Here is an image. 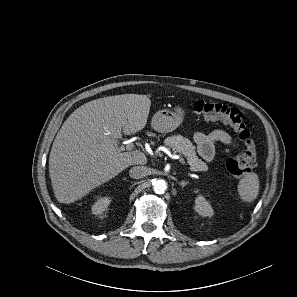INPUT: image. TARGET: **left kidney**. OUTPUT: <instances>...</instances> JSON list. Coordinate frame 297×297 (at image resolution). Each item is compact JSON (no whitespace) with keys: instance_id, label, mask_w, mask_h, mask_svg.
I'll return each mask as SVG.
<instances>
[{"instance_id":"left-kidney-1","label":"left kidney","mask_w":297,"mask_h":297,"mask_svg":"<svg viewBox=\"0 0 297 297\" xmlns=\"http://www.w3.org/2000/svg\"><path fill=\"white\" fill-rule=\"evenodd\" d=\"M195 210L203 217H211L214 213L209 202H207L206 199L201 195L197 196L195 199Z\"/></svg>"}]
</instances>
